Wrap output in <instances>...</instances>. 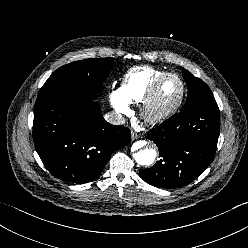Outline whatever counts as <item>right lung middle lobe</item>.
Masks as SVG:
<instances>
[{"instance_id": "dd1d6c3e", "label": "right lung middle lobe", "mask_w": 248, "mask_h": 248, "mask_svg": "<svg viewBox=\"0 0 248 248\" xmlns=\"http://www.w3.org/2000/svg\"><path fill=\"white\" fill-rule=\"evenodd\" d=\"M114 65L113 58L86 59L57 69L39 91L38 98L66 94L94 99Z\"/></svg>"}]
</instances>
